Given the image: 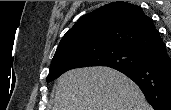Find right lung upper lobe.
Listing matches in <instances>:
<instances>
[{"mask_svg":"<svg viewBox=\"0 0 171 110\" xmlns=\"http://www.w3.org/2000/svg\"><path fill=\"white\" fill-rule=\"evenodd\" d=\"M163 45L141 7L118 1L82 16L63 36L55 55L86 46H121L149 55Z\"/></svg>","mask_w":171,"mask_h":110,"instance_id":"1","label":"right lung upper lobe"}]
</instances>
